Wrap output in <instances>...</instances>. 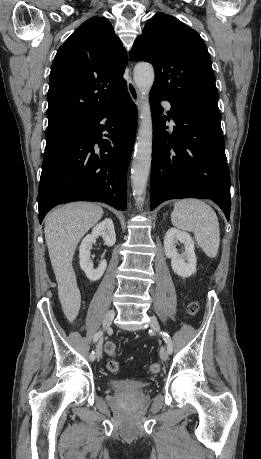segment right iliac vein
I'll return each instance as SVG.
<instances>
[{
    "label": "right iliac vein",
    "mask_w": 261,
    "mask_h": 459,
    "mask_svg": "<svg viewBox=\"0 0 261 459\" xmlns=\"http://www.w3.org/2000/svg\"><path fill=\"white\" fill-rule=\"evenodd\" d=\"M114 317H115V311L114 310H110L107 312L104 320H103V327L104 329H108L110 327V325L112 324L113 320H114ZM96 356L98 359L101 358L102 356V342L100 341L96 347Z\"/></svg>",
    "instance_id": "1"
}]
</instances>
